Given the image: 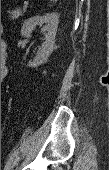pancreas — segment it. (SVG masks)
<instances>
[{"mask_svg": "<svg viewBox=\"0 0 109 170\" xmlns=\"http://www.w3.org/2000/svg\"><path fill=\"white\" fill-rule=\"evenodd\" d=\"M25 11H26L25 7L23 8V10H21L20 8L14 9V10L9 12V18L10 19H17L18 17L22 16Z\"/></svg>", "mask_w": 109, "mask_h": 170, "instance_id": "obj_1", "label": "pancreas"}]
</instances>
